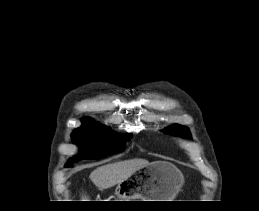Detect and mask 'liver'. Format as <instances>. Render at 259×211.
Here are the masks:
<instances>
[{
    "instance_id": "obj_1",
    "label": "liver",
    "mask_w": 259,
    "mask_h": 211,
    "mask_svg": "<svg viewBox=\"0 0 259 211\" xmlns=\"http://www.w3.org/2000/svg\"><path fill=\"white\" fill-rule=\"evenodd\" d=\"M149 164L145 159L135 158L103 165L91 172L90 179L97 188L107 189L123 182L135 171Z\"/></svg>"
}]
</instances>
